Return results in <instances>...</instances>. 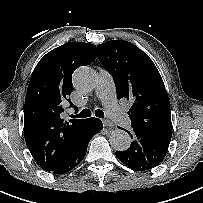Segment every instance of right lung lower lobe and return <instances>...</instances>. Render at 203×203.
Masks as SVG:
<instances>
[{
  "label": "right lung lower lobe",
  "instance_id": "right-lung-lower-lobe-1",
  "mask_svg": "<svg viewBox=\"0 0 203 203\" xmlns=\"http://www.w3.org/2000/svg\"><path fill=\"white\" fill-rule=\"evenodd\" d=\"M103 129V124L98 118H88L82 129L78 132L72 142L66 156L60 165L52 170L54 174H64L77 166L84 158L89 140L91 137Z\"/></svg>",
  "mask_w": 203,
  "mask_h": 203
}]
</instances>
